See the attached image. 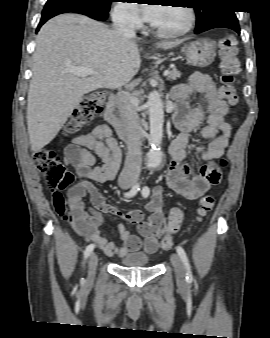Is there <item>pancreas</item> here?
Masks as SVG:
<instances>
[{"label": "pancreas", "instance_id": "cf45deb5", "mask_svg": "<svg viewBox=\"0 0 270 338\" xmlns=\"http://www.w3.org/2000/svg\"><path fill=\"white\" fill-rule=\"evenodd\" d=\"M180 76H181V73L176 68H174L172 71L169 72L168 79L173 81V80H176Z\"/></svg>", "mask_w": 270, "mask_h": 338}]
</instances>
